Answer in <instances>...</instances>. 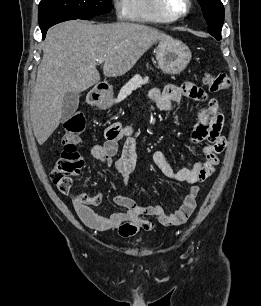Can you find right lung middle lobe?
I'll use <instances>...</instances> for the list:
<instances>
[{"mask_svg":"<svg viewBox=\"0 0 261 306\" xmlns=\"http://www.w3.org/2000/svg\"><path fill=\"white\" fill-rule=\"evenodd\" d=\"M111 0H41L39 12L98 16L111 11Z\"/></svg>","mask_w":261,"mask_h":306,"instance_id":"right-lung-middle-lobe-1","label":"right lung middle lobe"}]
</instances>
